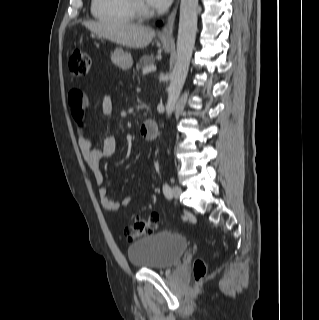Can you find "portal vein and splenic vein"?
<instances>
[{
  "instance_id": "portal-vein-and-splenic-vein-1",
  "label": "portal vein and splenic vein",
  "mask_w": 319,
  "mask_h": 320,
  "mask_svg": "<svg viewBox=\"0 0 319 320\" xmlns=\"http://www.w3.org/2000/svg\"><path fill=\"white\" fill-rule=\"evenodd\" d=\"M154 71H156V67L154 65L145 67L143 69V75H146V74H148L150 72H154Z\"/></svg>"
}]
</instances>
